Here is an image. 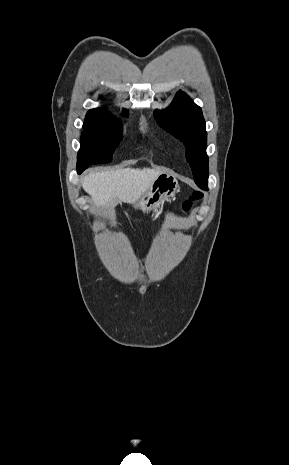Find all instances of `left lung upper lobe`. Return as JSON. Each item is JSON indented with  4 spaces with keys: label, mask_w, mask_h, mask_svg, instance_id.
<instances>
[{
    "label": "left lung upper lobe",
    "mask_w": 289,
    "mask_h": 465,
    "mask_svg": "<svg viewBox=\"0 0 289 465\" xmlns=\"http://www.w3.org/2000/svg\"><path fill=\"white\" fill-rule=\"evenodd\" d=\"M159 125L184 142L197 186L208 190L207 132L201 108L183 92L176 94L171 105L163 111L155 110Z\"/></svg>",
    "instance_id": "1"
}]
</instances>
